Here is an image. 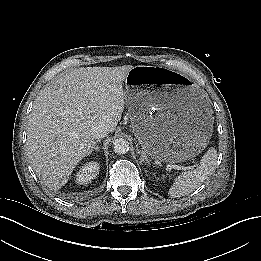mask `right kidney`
<instances>
[{"label": "right kidney", "mask_w": 261, "mask_h": 261, "mask_svg": "<svg viewBox=\"0 0 261 261\" xmlns=\"http://www.w3.org/2000/svg\"><path fill=\"white\" fill-rule=\"evenodd\" d=\"M100 165L98 162L84 164L76 174V183L88 184L99 174Z\"/></svg>", "instance_id": "ca27d5eb"}]
</instances>
